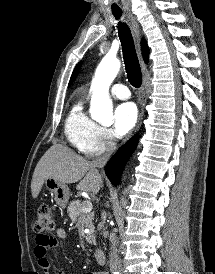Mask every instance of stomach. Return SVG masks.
<instances>
[{"mask_svg": "<svg viewBox=\"0 0 215 274\" xmlns=\"http://www.w3.org/2000/svg\"><path fill=\"white\" fill-rule=\"evenodd\" d=\"M45 186L54 195L57 205L65 208L70 194L68 186L53 177L45 179Z\"/></svg>", "mask_w": 215, "mask_h": 274, "instance_id": "0dacf381", "label": "stomach"}]
</instances>
